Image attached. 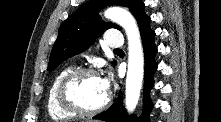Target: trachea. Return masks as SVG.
I'll use <instances>...</instances> for the list:
<instances>
[{
    "mask_svg": "<svg viewBox=\"0 0 221 122\" xmlns=\"http://www.w3.org/2000/svg\"><path fill=\"white\" fill-rule=\"evenodd\" d=\"M120 49H115L114 51H119Z\"/></svg>",
    "mask_w": 221,
    "mask_h": 122,
    "instance_id": "trachea-1",
    "label": "trachea"
}]
</instances>
